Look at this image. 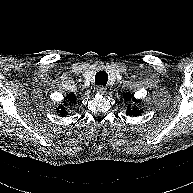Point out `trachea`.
Instances as JSON below:
<instances>
[{"mask_svg": "<svg viewBox=\"0 0 193 193\" xmlns=\"http://www.w3.org/2000/svg\"><path fill=\"white\" fill-rule=\"evenodd\" d=\"M108 81V74L105 71H99L95 75V83L105 86Z\"/></svg>", "mask_w": 193, "mask_h": 193, "instance_id": "trachea-1", "label": "trachea"}]
</instances>
